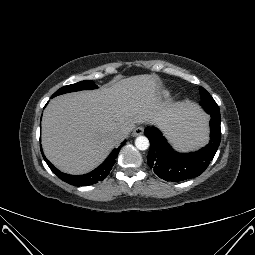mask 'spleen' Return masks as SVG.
Instances as JSON below:
<instances>
[{"instance_id": "spleen-1", "label": "spleen", "mask_w": 255, "mask_h": 255, "mask_svg": "<svg viewBox=\"0 0 255 255\" xmlns=\"http://www.w3.org/2000/svg\"><path fill=\"white\" fill-rule=\"evenodd\" d=\"M203 117L182 137L174 139V146L179 150H194L202 147L208 139L207 117Z\"/></svg>"}]
</instances>
